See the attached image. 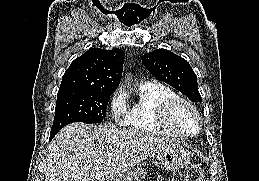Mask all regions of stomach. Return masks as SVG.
Listing matches in <instances>:
<instances>
[{"instance_id":"obj_1","label":"stomach","mask_w":259,"mask_h":181,"mask_svg":"<svg viewBox=\"0 0 259 181\" xmlns=\"http://www.w3.org/2000/svg\"><path fill=\"white\" fill-rule=\"evenodd\" d=\"M190 157L182 146L172 143L167 149L156 153V163L163 169L175 171L189 164ZM145 174L142 168H134L114 181H142Z\"/></svg>"}]
</instances>
